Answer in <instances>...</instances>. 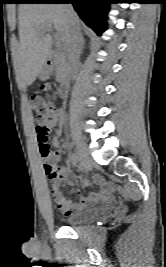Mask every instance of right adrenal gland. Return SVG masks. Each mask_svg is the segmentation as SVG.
Returning <instances> with one entry per match:
<instances>
[{
  "label": "right adrenal gland",
  "instance_id": "1",
  "mask_svg": "<svg viewBox=\"0 0 166 267\" xmlns=\"http://www.w3.org/2000/svg\"><path fill=\"white\" fill-rule=\"evenodd\" d=\"M84 44V40H82V45Z\"/></svg>",
  "mask_w": 166,
  "mask_h": 267
}]
</instances>
